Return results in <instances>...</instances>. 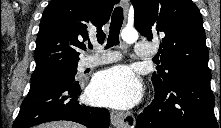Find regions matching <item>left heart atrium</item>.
Masks as SVG:
<instances>
[{"label":"left heart atrium","mask_w":221,"mask_h":128,"mask_svg":"<svg viewBox=\"0 0 221 128\" xmlns=\"http://www.w3.org/2000/svg\"><path fill=\"white\" fill-rule=\"evenodd\" d=\"M88 97L99 105L127 109L141 97V86L135 74L125 66L100 72L88 90Z\"/></svg>","instance_id":"1"}]
</instances>
